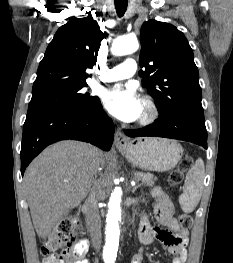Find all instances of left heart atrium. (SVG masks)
<instances>
[{
	"label": "left heart atrium",
	"mask_w": 233,
	"mask_h": 263,
	"mask_svg": "<svg viewBox=\"0 0 233 263\" xmlns=\"http://www.w3.org/2000/svg\"><path fill=\"white\" fill-rule=\"evenodd\" d=\"M104 101L106 109L122 121H135L142 114V99L132 87L116 85L105 93Z\"/></svg>",
	"instance_id": "left-heart-atrium-1"
}]
</instances>
